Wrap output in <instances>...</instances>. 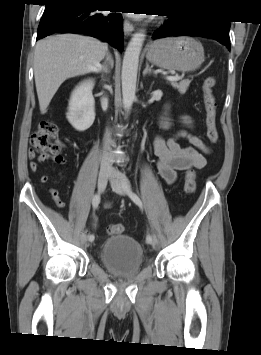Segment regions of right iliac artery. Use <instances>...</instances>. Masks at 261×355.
<instances>
[{"label":"right iliac artery","instance_id":"right-iliac-artery-1","mask_svg":"<svg viewBox=\"0 0 261 355\" xmlns=\"http://www.w3.org/2000/svg\"><path fill=\"white\" fill-rule=\"evenodd\" d=\"M100 194L97 193L95 194V196L93 197V200H92V205H93V208L96 209L100 203ZM88 239L89 241H93L94 240V235H88Z\"/></svg>","mask_w":261,"mask_h":355}]
</instances>
